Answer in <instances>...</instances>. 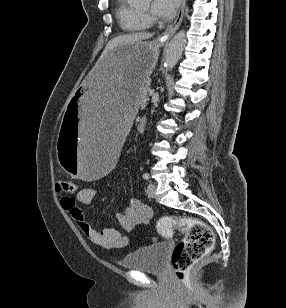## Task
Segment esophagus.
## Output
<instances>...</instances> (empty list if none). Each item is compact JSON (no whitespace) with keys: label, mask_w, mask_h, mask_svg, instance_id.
I'll use <instances>...</instances> for the list:
<instances>
[{"label":"esophagus","mask_w":286,"mask_h":308,"mask_svg":"<svg viewBox=\"0 0 286 308\" xmlns=\"http://www.w3.org/2000/svg\"><path fill=\"white\" fill-rule=\"evenodd\" d=\"M185 5L186 0H181L175 21L169 27H167V29L159 36V39H161L162 41H168L174 35L182 22Z\"/></svg>","instance_id":"esophagus-1"}]
</instances>
